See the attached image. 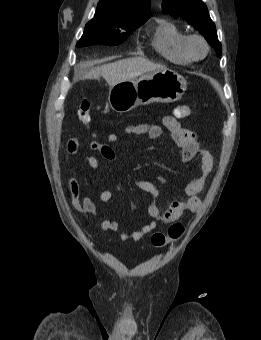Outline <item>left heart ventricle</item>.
<instances>
[{"label":"left heart ventricle","instance_id":"left-heart-ventricle-1","mask_svg":"<svg viewBox=\"0 0 261 340\" xmlns=\"http://www.w3.org/2000/svg\"><path fill=\"white\" fill-rule=\"evenodd\" d=\"M194 50L197 54H202L204 49H203V46L199 43H196L195 46H194Z\"/></svg>","mask_w":261,"mask_h":340}]
</instances>
